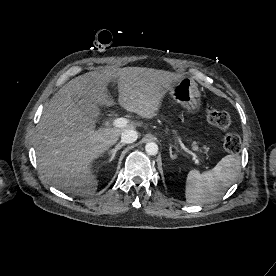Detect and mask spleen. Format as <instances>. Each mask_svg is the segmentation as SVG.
Segmentation results:
<instances>
[{"mask_svg": "<svg viewBox=\"0 0 276 276\" xmlns=\"http://www.w3.org/2000/svg\"><path fill=\"white\" fill-rule=\"evenodd\" d=\"M240 162L241 158L238 154H229L207 172L191 170L186 179V201L190 204L202 205L223 196L237 177Z\"/></svg>", "mask_w": 276, "mask_h": 276, "instance_id": "spleen-1", "label": "spleen"}]
</instances>
